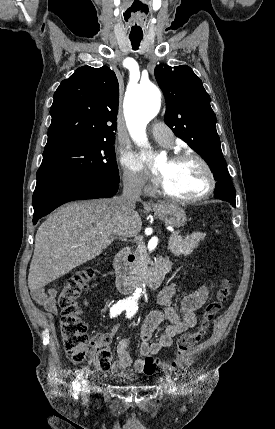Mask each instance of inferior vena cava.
Segmentation results:
<instances>
[{
	"label": "inferior vena cava",
	"mask_w": 275,
	"mask_h": 429,
	"mask_svg": "<svg viewBox=\"0 0 275 429\" xmlns=\"http://www.w3.org/2000/svg\"><path fill=\"white\" fill-rule=\"evenodd\" d=\"M142 182L132 176L123 179V191L116 198L117 208L122 213H129L135 209V203L139 200L142 191Z\"/></svg>",
	"instance_id": "obj_1"
}]
</instances>
